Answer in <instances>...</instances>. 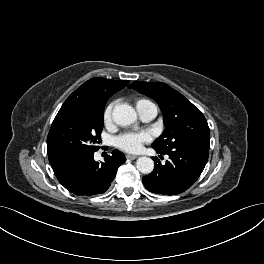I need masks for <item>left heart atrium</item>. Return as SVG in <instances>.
<instances>
[{"instance_id":"left-heart-atrium-1","label":"left heart atrium","mask_w":264,"mask_h":264,"mask_svg":"<svg viewBox=\"0 0 264 264\" xmlns=\"http://www.w3.org/2000/svg\"><path fill=\"white\" fill-rule=\"evenodd\" d=\"M150 140L146 132H126L116 139V145L127 152H137L145 142Z\"/></svg>"}]
</instances>
